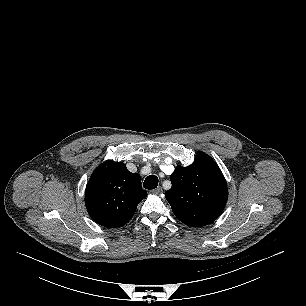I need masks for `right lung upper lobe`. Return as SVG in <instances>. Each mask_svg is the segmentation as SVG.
<instances>
[{"label":"right lung upper lobe","mask_w":306,"mask_h":306,"mask_svg":"<svg viewBox=\"0 0 306 306\" xmlns=\"http://www.w3.org/2000/svg\"><path fill=\"white\" fill-rule=\"evenodd\" d=\"M85 196L91 218L112 228L125 225L147 193L141 187L139 174L128 171L122 162L107 160L91 175Z\"/></svg>","instance_id":"right-lung-upper-lobe-1"}]
</instances>
